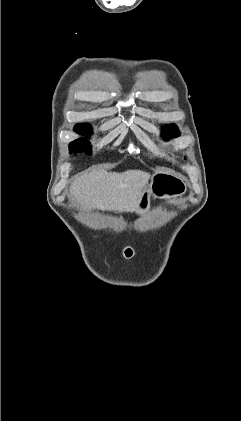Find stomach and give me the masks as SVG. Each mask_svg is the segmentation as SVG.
<instances>
[{"mask_svg":"<svg viewBox=\"0 0 241 421\" xmlns=\"http://www.w3.org/2000/svg\"><path fill=\"white\" fill-rule=\"evenodd\" d=\"M187 190L185 181L172 173L157 170L151 183L145 188L137 202L135 212L143 215L150 209L151 196L158 199L170 200L182 196Z\"/></svg>","mask_w":241,"mask_h":421,"instance_id":"stomach-1","label":"stomach"}]
</instances>
